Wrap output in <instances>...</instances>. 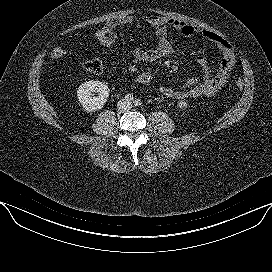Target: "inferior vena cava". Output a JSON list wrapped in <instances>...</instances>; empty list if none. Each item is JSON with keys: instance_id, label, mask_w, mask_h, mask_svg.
<instances>
[{"instance_id": "1", "label": "inferior vena cava", "mask_w": 272, "mask_h": 272, "mask_svg": "<svg viewBox=\"0 0 272 272\" xmlns=\"http://www.w3.org/2000/svg\"><path fill=\"white\" fill-rule=\"evenodd\" d=\"M117 108L120 111L127 112L132 108V103L127 99H122L118 101Z\"/></svg>"}]
</instances>
